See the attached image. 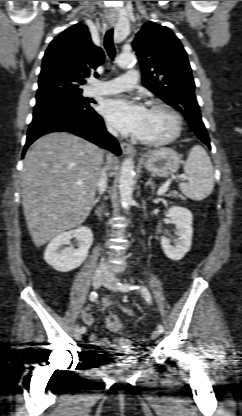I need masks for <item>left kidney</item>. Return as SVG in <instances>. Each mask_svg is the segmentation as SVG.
Returning <instances> with one entry per match:
<instances>
[{
    "label": "left kidney",
    "mask_w": 242,
    "mask_h": 416,
    "mask_svg": "<svg viewBox=\"0 0 242 416\" xmlns=\"http://www.w3.org/2000/svg\"><path fill=\"white\" fill-rule=\"evenodd\" d=\"M168 214L176 226L177 239L171 241L166 237L161 238V246L165 255L173 261L182 259L190 250L192 244L193 216L187 208L173 206L168 209Z\"/></svg>",
    "instance_id": "left-kidney-1"
}]
</instances>
